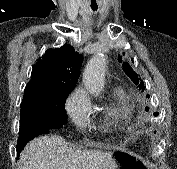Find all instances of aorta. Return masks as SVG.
<instances>
[{
    "label": "aorta",
    "mask_w": 177,
    "mask_h": 169,
    "mask_svg": "<svg viewBox=\"0 0 177 169\" xmlns=\"http://www.w3.org/2000/svg\"><path fill=\"white\" fill-rule=\"evenodd\" d=\"M106 64V58L101 54L92 57L85 67L83 83L86 90L94 96H99L104 88Z\"/></svg>",
    "instance_id": "aorta-1"
}]
</instances>
